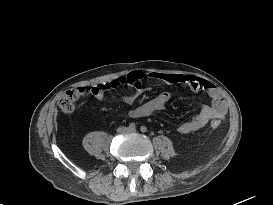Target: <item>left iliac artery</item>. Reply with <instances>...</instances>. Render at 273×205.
Wrapping results in <instances>:
<instances>
[{
  "label": "left iliac artery",
  "instance_id": "44dca946",
  "mask_svg": "<svg viewBox=\"0 0 273 205\" xmlns=\"http://www.w3.org/2000/svg\"><path fill=\"white\" fill-rule=\"evenodd\" d=\"M140 130H141L142 132H146V131H147V128H146V126H141Z\"/></svg>",
  "mask_w": 273,
  "mask_h": 205
}]
</instances>
